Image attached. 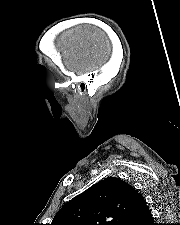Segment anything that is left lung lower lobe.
I'll use <instances>...</instances> for the list:
<instances>
[{"label": "left lung lower lobe", "mask_w": 180, "mask_h": 225, "mask_svg": "<svg viewBox=\"0 0 180 225\" xmlns=\"http://www.w3.org/2000/svg\"><path fill=\"white\" fill-rule=\"evenodd\" d=\"M126 225H155L148 207L131 218Z\"/></svg>", "instance_id": "1"}]
</instances>
